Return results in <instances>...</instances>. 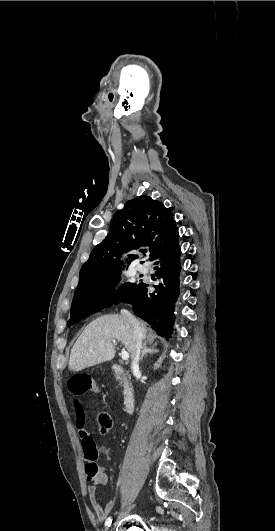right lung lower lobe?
<instances>
[{
  "label": "right lung lower lobe",
  "instance_id": "obj_1",
  "mask_svg": "<svg viewBox=\"0 0 275 531\" xmlns=\"http://www.w3.org/2000/svg\"><path fill=\"white\" fill-rule=\"evenodd\" d=\"M179 233L175 228L150 260L154 262L159 284L150 291V285L140 281L124 301L132 305L134 313L147 321L159 335L169 337L174 323V306L179 294L180 265Z\"/></svg>",
  "mask_w": 275,
  "mask_h": 531
}]
</instances>
